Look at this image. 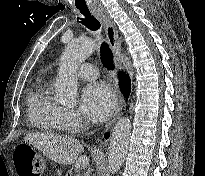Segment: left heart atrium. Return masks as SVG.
Wrapping results in <instances>:
<instances>
[{
  "instance_id": "39dd6f15",
  "label": "left heart atrium",
  "mask_w": 205,
  "mask_h": 176,
  "mask_svg": "<svg viewBox=\"0 0 205 176\" xmlns=\"http://www.w3.org/2000/svg\"><path fill=\"white\" fill-rule=\"evenodd\" d=\"M116 103L110 86L103 82L88 84L81 93V109L93 121H104L111 114Z\"/></svg>"
}]
</instances>
